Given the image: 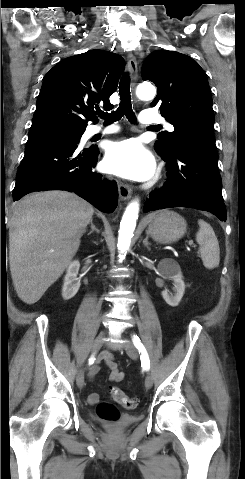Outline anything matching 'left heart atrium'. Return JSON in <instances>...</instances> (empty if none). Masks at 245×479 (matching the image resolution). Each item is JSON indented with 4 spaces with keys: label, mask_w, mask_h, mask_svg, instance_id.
Wrapping results in <instances>:
<instances>
[{
    "label": "left heart atrium",
    "mask_w": 245,
    "mask_h": 479,
    "mask_svg": "<svg viewBox=\"0 0 245 479\" xmlns=\"http://www.w3.org/2000/svg\"><path fill=\"white\" fill-rule=\"evenodd\" d=\"M103 169L127 179L146 180L154 172L155 162L150 152L135 139L111 143L103 159Z\"/></svg>",
    "instance_id": "1"
}]
</instances>
